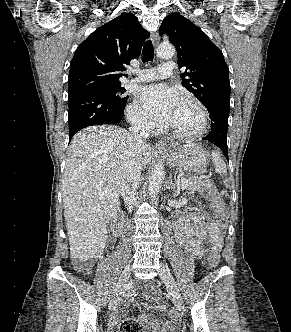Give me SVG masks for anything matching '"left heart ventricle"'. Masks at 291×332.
Instances as JSON below:
<instances>
[{
    "label": "left heart ventricle",
    "mask_w": 291,
    "mask_h": 332,
    "mask_svg": "<svg viewBox=\"0 0 291 332\" xmlns=\"http://www.w3.org/2000/svg\"><path fill=\"white\" fill-rule=\"evenodd\" d=\"M168 124L179 132L193 133L200 128L201 119L194 105L179 101Z\"/></svg>",
    "instance_id": "left-heart-ventricle-1"
}]
</instances>
